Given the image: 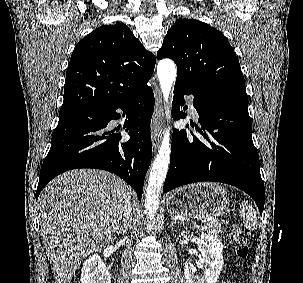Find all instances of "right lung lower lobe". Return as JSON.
<instances>
[{
  "mask_svg": "<svg viewBox=\"0 0 303 283\" xmlns=\"http://www.w3.org/2000/svg\"><path fill=\"white\" fill-rule=\"evenodd\" d=\"M126 115L124 129L130 139L121 141L108 123ZM154 94L150 86L130 97L107 104L82 116L59 120L51 148L40 170L36 200L46 184L57 175L77 168L103 169L120 176L140 200L144 178L152 156L150 122Z\"/></svg>",
  "mask_w": 303,
  "mask_h": 283,
  "instance_id": "right-lung-lower-lobe-1",
  "label": "right lung lower lobe"
}]
</instances>
